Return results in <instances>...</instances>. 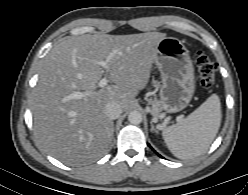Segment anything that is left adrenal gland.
I'll list each match as a JSON object with an SVG mask.
<instances>
[{
	"mask_svg": "<svg viewBox=\"0 0 248 195\" xmlns=\"http://www.w3.org/2000/svg\"><path fill=\"white\" fill-rule=\"evenodd\" d=\"M150 124H151V131H154L157 133L158 131L155 129V127L153 125V120H151Z\"/></svg>",
	"mask_w": 248,
	"mask_h": 195,
	"instance_id": "left-adrenal-gland-1",
	"label": "left adrenal gland"
}]
</instances>
